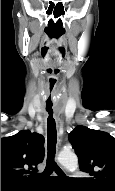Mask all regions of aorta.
<instances>
[{
	"mask_svg": "<svg viewBox=\"0 0 115 191\" xmlns=\"http://www.w3.org/2000/svg\"><path fill=\"white\" fill-rule=\"evenodd\" d=\"M58 160L70 171H74L78 167V158L73 152L62 151L58 156Z\"/></svg>",
	"mask_w": 115,
	"mask_h": 191,
	"instance_id": "obj_1",
	"label": "aorta"
}]
</instances>
